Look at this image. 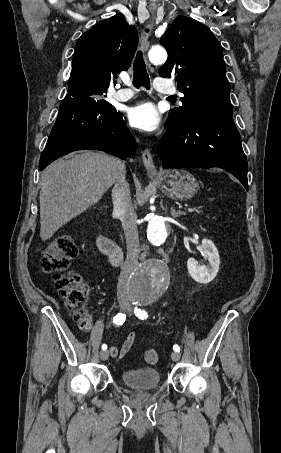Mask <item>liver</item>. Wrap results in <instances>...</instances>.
I'll return each mask as SVG.
<instances>
[{"label": "liver", "instance_id": "obj_1", "mask_svg": "<svg viewBox=\"0 0 281 453\" xmlns=\"http://www.w3.org/2000/svg\"><path fill=\"white\" fill-rule=\"evenodd\" d=\"M41 172L40 237L48 241L63 224L99 202L121 176L120 162L106 152L78 150Z\"/></svg>", "mask_w": 281, "mask_h": 453}]
</instances>
